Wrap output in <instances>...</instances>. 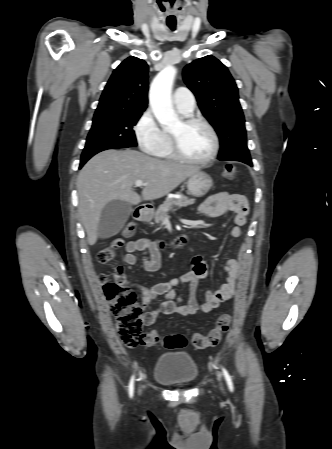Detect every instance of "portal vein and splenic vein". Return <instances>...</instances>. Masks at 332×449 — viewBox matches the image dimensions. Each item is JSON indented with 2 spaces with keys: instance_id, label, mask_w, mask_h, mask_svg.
<instances>
[{
  "instance_id": "1",
  "label": "portal vein and splenic vein",
  "mask_w": 332,
  "mask_h": 449,
  "mask_svg": "<svg viewBox=\"0 0 332 449\" xmlns=\"http://www.w3.org/2000/svg\"><path fill=\"white\" fill-rule=\"evenodd\" d=\"M135 186H137V187H143V186H146V183H144L143 181L137 180V181L135 182Z\"/></svg>"
}]
</instances>
